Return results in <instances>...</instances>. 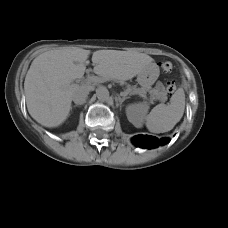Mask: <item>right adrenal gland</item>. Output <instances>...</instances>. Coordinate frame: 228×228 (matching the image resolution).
<instances>
[{
  "label": "right adrenal gland",
  "mask_w": 228,
  "mask_h": 228,
  "mask_svg": "<svg viewBox=\"0 0 228 228\" xmlns=\"http://www.w3.org/2000/svg\"><path fill=\"white\" fill-rule=\"evenodd\" d=\"M73 107H79V105H74Z\"/></svg>",
  "instance_id": "1"
}]
</instances>
